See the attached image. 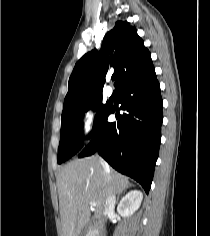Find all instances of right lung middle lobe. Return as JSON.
<instances>
[{
    "label": "right lung middle lobe",
    "mask_w": 210,
    "mask_h": 236,
    "mask_svg": "<svg viewBox=\"0 0 210 236\" xmlns=\"http://www.w3.org/2000/svg\"><path fill=\"white\" fill-rule=\"evenodd\" d=\"M102 96L87 101L81 107L62 113L60 143L58 148V163H62L79 152L83 146L80 139L81 121L84 113L93 109L97 111L91 136L98 129L109 106L101 103Z\"/></svg>",
    "instance_id": "dd1d6c3e"
}]
</instances>
